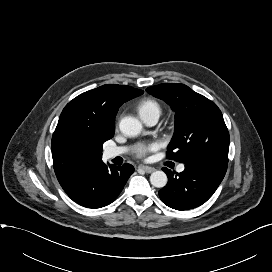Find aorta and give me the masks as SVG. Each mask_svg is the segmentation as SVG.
Listing matches in <instances>:
<instances>
[{"mask_svg":"<svg viewBox=\"0 0 272 272\" xmlns=\"http://www.w3.org/2000/svg\"><path fill=\"white\" fill-rule=\"evenodd\" d=\"M120 131L129 137L137 136L142 131L141 122L132 116H126L119 123ZM168 181L167 175L163 171H155L150 176V182L154 187L163 188Z\"/></svg>","mask_w":272,"mask_h":272,"instance_id":"obj_1","label":"aorta"}]
</instances>
